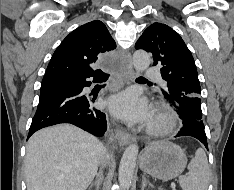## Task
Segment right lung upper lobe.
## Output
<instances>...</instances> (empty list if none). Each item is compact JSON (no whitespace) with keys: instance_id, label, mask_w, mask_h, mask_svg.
I'll use <instances>...</instances> for the list:
<instances>
[{"instance_id":"right-lung-upper-lobe-1","label":"right lung upper lobe","mask_w":234,"mask_h":190,"mask_svg":"<svg viewBox=\"0 0 234 190\" xmlns=\"http://www.w3.org/2000/svg\"><path fill=\"white\" fill-rule=\"evenodd\" d=\"M116 48L106 26L99 20L72 31L55 50L43 80L80 70L93 71L104 53Z\"/></svg>"}]
</instances>
